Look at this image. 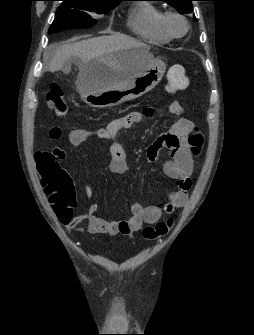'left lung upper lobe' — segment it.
<instances>
[{
  "label": "left lung upper lobe",
  "mask_w": 254,
  "mask_h": 335,
  "mask_svg": "<svg viewBox=\"0 0 254 335\" xmlns=\"http://www.w3.org/2000/svg\"><path fill=\"white\" fill-rule=\"evenodd\" d=\"M156 1H164L175 7L179 13L187 14L193 11L192 1L194 0H156ZM194 20L197 19L194 16Z\"/></svg>",
  "instance_id": "5c2ea615"
}]
</instances>
